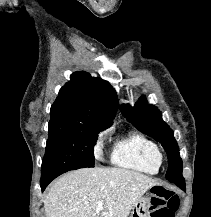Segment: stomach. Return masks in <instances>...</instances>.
I'll return each instance as SVG.
<instances>
[{
  "instance_id": "0dacf381",
  "label": "stomach",
  "mask_w": 211,
  "mask_h": 217,
  "mask_svg": "<svg viewBox=\"0 0 211 217\" xmlns=\"http://www.w3.org/2000/svg\"><path fill=\"white\" fill-rule=\"evenodd\" d=\"M149 208H150L149 197L148 196L141 197L139 201L132 208L130 217H150Z\"/></svg>"
}]
</instances>
